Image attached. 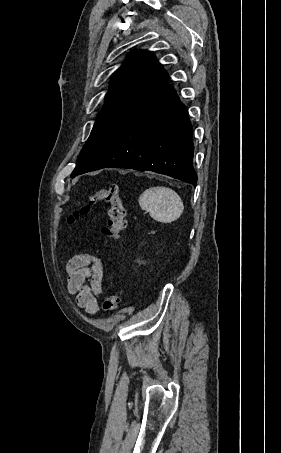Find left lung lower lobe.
Masks as SVG:
<instances>
[{
  "label": "left lung lower lobe",
  "mask_w": 281,
  "mask_h": 453,
  "mask_svg": "<svg viewBox=\"0 0 281 453\" xmlns=\"http://www.w3.org/2000/svg\"><path fill=\"white\" fill-rule=\"evenodd\" d=\"M187 110L163 69L143 99L100 152L71 177L108 168L154 171L197 184Z\"/></svg>",
  "instance_id": "left-lung-lower-lobe-1"
}]
</instances>
